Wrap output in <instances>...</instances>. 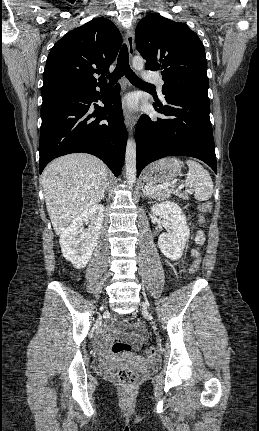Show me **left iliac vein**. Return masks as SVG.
I'll list each match as a JSON object with an SVG mask.
<instances>
[{
  "label": "left iliac vein",
  "instance_id": "obj_1",
  "mask_svg": "<svg viewBox=\"0 0 259 431\" xmlns=\"http://www.w3.org/2000/svg\"><path fill=\"white\" fill-rule=\"evenodd\" d=\"M143 307H145V308H149V304H148L147 302H144V303H143Z\"/></svg>",
  "mask_w": 259,
  "mask_h": 431
}]
</instances>
